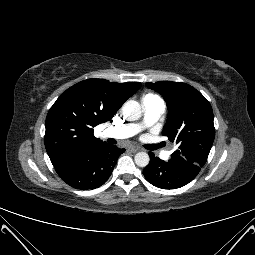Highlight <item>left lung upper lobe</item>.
Here are the masks:
<instances>
[{
	"label": "left lung upper lobe",
	"instance_id": "5c2ea615",
	"mask_svg": "<svg viewBox=\"0 0 255 255\" xmlns=\"http://www.w3.org/2000/svg\"><path fill=\"white\" fill-rule=\"evenodd\" d=\"M146 86L167 102L168 117L162 134L179 146L171 161L203 167L215 137L210 103L186 83L159 81Z\"/></svg>",
	"mask_w": 255,
	"mask_h": 255
}]
</instances>
